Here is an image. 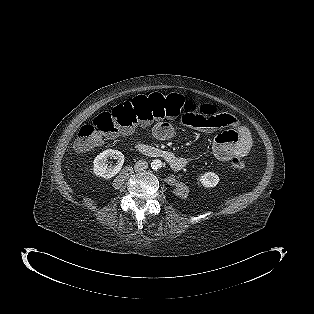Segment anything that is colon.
<instances>
[{
    "label": "colon",
    "instance_id": "5ec220e1",
    "mask_svg": "<svg viewBox=\"0 0 314 314\" xmlns=\"http://www.w3.org/2000/svg\"><path fill=\"white\" fill-rule=\"evenodd\" d=\"M197 107H202L210 113L206 106H198L179 94L164 96L152 93L136 96L110 112L100 113L92 123L83 125L78 132L74 149L77 152L90 151L98 147L104 137L130 132L136 126L147 125L160 119L180 118L184 112H192ZM231 166L234 169H244L246 164L239 158H233Z\"/></svg>",
    "mask_w": 314,
    "mask_h": 314
}]
</instances>
